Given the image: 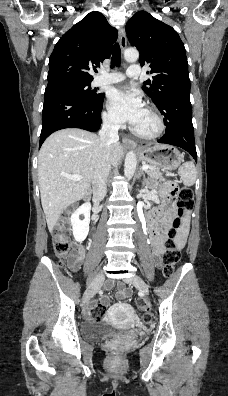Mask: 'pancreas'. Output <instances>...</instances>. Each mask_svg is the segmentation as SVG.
I'll use <instances>...</instances> for the list:
<instances>
[{
  "instance_id": "pancreas-1",
  "label": "pancreas",
  "mask_w": 228,
  "mask_h": 396,
  "mask_svg": "<svg viewBox=\"0 0 228 396\" xmlns=\"http://www.w3.org/2000/svg\"><path fill=\"white\" fill-rule=\"evenodd\" d=\"M148 166H149V168L146 170V173L148 174V176H150L151 178H154L156 180H163L162 174L158 167L152 166V165H148ZM167 175H170V174L167 173Z\"/></svg>"
}]
</instances>
